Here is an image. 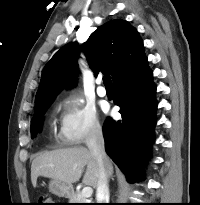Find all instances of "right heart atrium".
I'll return each instance as SVG.
<instances>
[{
	"label": "right heart atrium",
	"mask_w": 200,
	"mask_h": 205,
	"mask_svg": "<svg viewBox=\"0 0 200 205\" xmlns=\"http://www.w3.org/2000/svg\"><path fill=\"white\" fill-rule=\"evenodd\" d=\"M57 138L64 145H80L98 137L100 121L91 108L77 98H67L60 104Z\"/></svg>",
	"instance_id": "right-heart-atrium-1"
}]
</instances>
